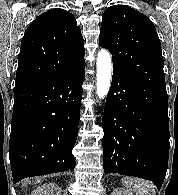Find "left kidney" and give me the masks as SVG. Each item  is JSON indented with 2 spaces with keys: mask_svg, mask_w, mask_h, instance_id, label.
<instances>
[{
  "mask_svg": "<svg viewBox=\"0 0 178 195\" xmlns=\"http://www.w3.org/2000/svg\"><path fill=\"white\" fill-rule=\"evenodd\" d=\"M110 195H133L129 190L124 188H115Z\"/></svg>",
  "mask_w": 178,
  "mask_h": 195,
  "instance_id": "obj_1",
  "label": "left kidney"
}]
</instances>
